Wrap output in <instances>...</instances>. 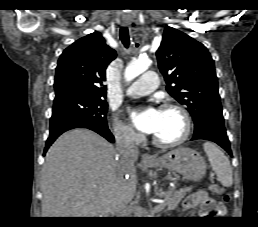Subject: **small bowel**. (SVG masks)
<instances>
[{
  "label": "small bowel",
  "mask_w": 258,
  "mask_h": 227,
  "mask_svg": "<svg viewBox=\"0 0 258 227\" xmlns=\"http://www.w3.org/2000/svg\"><path fill=\"white\" fill-rule=\"evenodd\" d=\"M196 205H200L198 215L200 217H209L212 213L224 214L226 209L223 204L217 203L212 199L209 193L205 190H200L194 194L189 195L183 202V209H190Z\"/></svg>",
  "instance_id": "small-bowel-1"
}]
</instances>
